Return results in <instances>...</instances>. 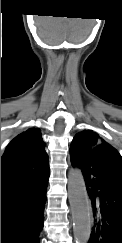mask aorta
Instances as JSON below:
<instances>
[{
    "instance_id": "aorta-1",
    "label": "aorta",
    "mask_w": 122,
    "mask_h": 243,
    "mask_svg": "<svg viewBox=\"0 0 122 243\" xmlns=\"http://www.w3.org/2000/svg\"><path fill=\"white\" fill-rule=\"evenodd\" d=\"M68 197L73 218L76 243H87L90 237V211L85 182L80 170L73 169L68 177Z\"/></svg>"
}]
</instances>
